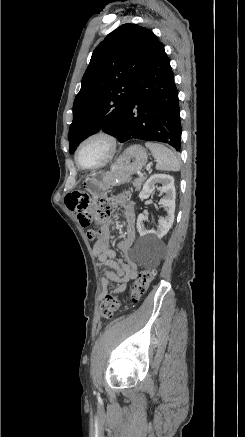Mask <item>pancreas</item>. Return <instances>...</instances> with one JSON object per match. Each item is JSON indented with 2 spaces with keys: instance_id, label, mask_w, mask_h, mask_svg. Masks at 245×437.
Segmentation results:
<instances>
[{
  "instance_id": "cf45deb5",
  "label": "pancreas",
  "mask_w": 245,
  "mask_h": 437,
  "mask_svg": "<svg viewBox=\"0 0 245 437\" xmlns=\"http://www.w3.org/2000/svg\"><path fill=\"white\" fill-rule=\"evenodd\" d=\"M147 179L146 176H140L139 178H136L132 184L133 186L136 188L137 191H139L141 189L142 184L144 183V181Z\"/></svg>"
}]
</instances>
